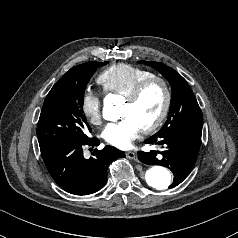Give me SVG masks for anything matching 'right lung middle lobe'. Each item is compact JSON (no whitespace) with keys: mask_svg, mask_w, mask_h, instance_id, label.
I'll use <instances>...</instances> for the list:
<instances>
[{"mask_svg":"<svg viewBox=\"0 0 238 238\" xmlns=\"http://www.w3.org/2000/svg\"><path fill=\"white\" fill-rule=\"evenodd\" d=\"M108 62H87L67 71L48 93L37 125L40 151L88 138L91 131L83 112L84 91L98 67Z\"/></svg>","mask_w":238,"mask_h":238,"instance_id":"1","label":"right lung middle lobe"}]
</instances>
